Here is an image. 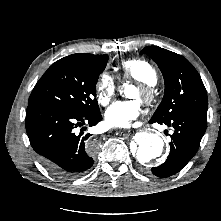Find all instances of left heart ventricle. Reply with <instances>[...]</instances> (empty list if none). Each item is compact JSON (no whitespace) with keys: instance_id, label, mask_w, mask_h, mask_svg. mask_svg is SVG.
I'll use <instances>...</instances> for the list:
<instances>
[{"instance_id":"1","label":"left heart ventricle","mask_w":221,"mask_h":221,"mask_svg":"<svg viewBox=\"0 0 221 221\" xmlns=\"http://www.w3.org/2000/svg\"><path fill=\"white\" fill-rule=\"evenodd\" d=\"M129 95H130V96H134V97H139L138 90H137V89H134V88L130 89V90H129Z\"/></svg>"}]
</instances>
